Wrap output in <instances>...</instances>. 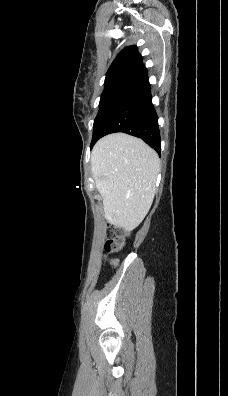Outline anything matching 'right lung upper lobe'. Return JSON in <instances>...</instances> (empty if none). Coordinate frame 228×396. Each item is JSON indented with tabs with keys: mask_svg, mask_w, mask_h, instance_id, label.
Segmentation results:
<instances>
[{
	"mask_svg": "<svg viewBox=\"0 0 228 396\" xmlns=\"http://www.w3.org/2000/svg\"><path fill=\"white\" fill-rule=\"evenodd\" d=\"M146 73L147 70L142 63L138 48L128 46L117 55L109 67L105 78V86L122 85L126 87Z\"/></svg>",
	"mask_w": 228,
	"mask_h": 396,
	"instance_id": "1",
	"label": "right lung upper lobe"
}]
</instances>
